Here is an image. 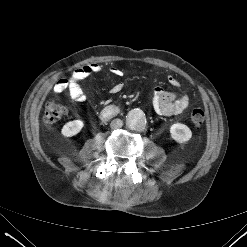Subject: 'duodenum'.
<instances>
[{
  "label": "duodenum",
  "instance_id": "duodenum-1",
  "mask_svg": "<svg viewBox=\"0 0 247 247\" xmlns=\"http://www.w3.org/2000/svg\"><path fill=\"white\" fill-rule=\"evenodd\" d=\"M118 112H119V109L116 106L109 105L103 109L101 115L103 118L107 119V118H111L117 115Z\"/></svg>",
  "mask_w": 247,
  "mask_h": 247
}]
</instances>
